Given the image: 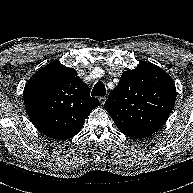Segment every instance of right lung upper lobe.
Listing matches in <instances>:
<instances>
[{
    "label": "right lung upper lobe",
    "instance_id": "cb5924a9",
    "mask_svg": "<svg viewBox=\"0 0 193 193\" xmlns=\"http://www.w3.org/2000/svg\"><path fill=\"white\" fill-rule=\"evenodd\" d=\"M23 98L35 127L55 140L78 134L90 112L100 105L76 70L56 60L28 80Z\"/></svg>",
    "mask_w": 193,
    "mask_h": 193
}]
</instances>
